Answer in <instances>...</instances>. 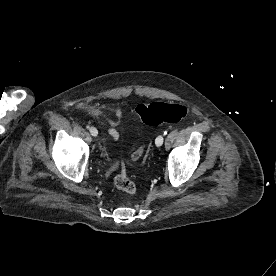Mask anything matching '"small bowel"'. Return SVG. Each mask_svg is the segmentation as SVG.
I'll return each mask as SVG.
<instances>
[{
    "instance_id": "1",
    "label": "small bowel",
    "mask_w": 276,
    "mask_h": 276,
    "mask_svg": "<svg viewBox=\"0 0 276 276\" xmlns=\"http://www.w3.org/2000/svg\"><path fill=\"white\" fill-rule=\"evenodd\" d=\"M108 107H113L114 109V118L108 117L102 110L95 108V107H88V112L97 118H101L107 122L109 125L108 134L114 139H118L119 133L117 130V126L120 123L122 118V109L119 106H113L111 104L107 105Z\"/></svg>"
}]
</instances>
